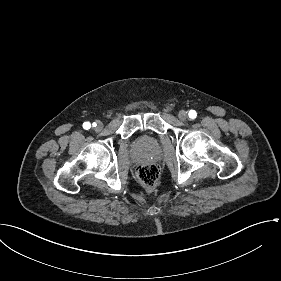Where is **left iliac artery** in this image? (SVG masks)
<instances>
[{
  "label": "left iliac artery",
  "instance_id": "44dca946",
  "mask_svg": "<svg viewBox=\"0 0 281 281\" xmlns=\"http://www.w3.org/2000/svg\"><path fill=\"white\" fill-rule=\"evenodd\" d=\"M196 116H197L196 111H194V110H190V111H189V117H190L191 119L196 118Z\"/></svg>",
  "mask_w": 281,
  "mask_h": 281
}]
</instances>
